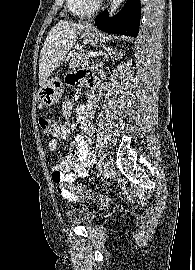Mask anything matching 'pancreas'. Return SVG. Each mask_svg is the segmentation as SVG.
<instances>
[{
  "instance_id": "1",
  "label": "pancreas",
  "mask_w": 195,
  "mask_h": 270,
  "mask_svg": "<svg viewBox=\"0 0 195 270\" xmlns=\"http://www.w3.org/2000/svg\"><path fill=\"white\" fill-rule=\"evenodd\" d=\"M90 64V57L84 50H80L72 55L70 67H84Z\"/></svg>"
}]
</instances>
